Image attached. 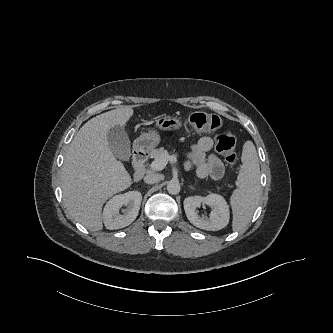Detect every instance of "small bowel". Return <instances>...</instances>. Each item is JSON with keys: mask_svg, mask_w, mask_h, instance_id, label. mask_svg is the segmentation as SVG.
I'll use <instances>...</instances> for the list:
<instances>
[{"mask_svg": "<svg viewBox=\"0 0 333 333\" xmlns=\"http://www.w3.org/2000/svg\"><path fill=\"white\" fill-rule=\"evenodd\" d=\"M213 140L209 136L201 137L191 146L187 154V167L193 169L200 178L210 177L218 180L223 176L224 167L221 161L213 154L206 156L212 148Z\"/></svg>", "mask_w": 333, "mask_h": 333, "instance_id": "obj_1", "label": "small bowel"}]
</instances>
